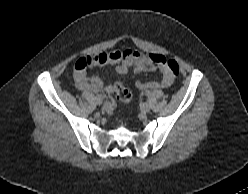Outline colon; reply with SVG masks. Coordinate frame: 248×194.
<instances>
[{
    "mask_svg": "<svg viewBox=\"0 0 248 194\" xmlns=\"http://www.w3.org/2000/svg\"><path fill=\"white\" fill-rule=\"evenodd\" d=\"M89 57L82 58L75 64L74 73L87 70L88 68L94 66V62L90 60ZM151 60L157 66L166 67L172 76L178 75L179 65L175 60L168 59L162 55H151ZM112 90L114 91L119 101L123 103H128L131 101L132 94L122 83H114L112 86Z\"/></svg>",
    "mask_w": 248,
    "mask_h": 194,
    "instance_id": "5ec220e1",
    "label": "colon"
}]
</instances>
